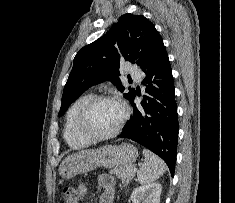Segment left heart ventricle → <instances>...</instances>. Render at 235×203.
Listing matches in <instances>:
<instances>
[{
    "instance_id": "1",
    "label": "left heart ventricle",
    "mask_w": 235,
    "mask_h": 203,
    "mask_svg": "<svg viewBox=\"0 0 235 203\" xmlns=\"http://www.w3.org/2000/svg\"><path fill=\"white\" fill-rule=\"evenodd\" d=\"M122 107L111 101L97 103L88 113L84 127L93 134H106L116 128L122 118Z\"/></svg>"
}]
</instances>
